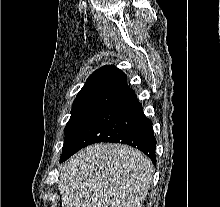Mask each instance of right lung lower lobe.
Here are the masks:
<instances>
[{
    "label": "right lung lower lobe",
    "mask_w": 220,
    "mask_h": 207,
    "mask_svg": "<svg viewBox=\"0 0 220 207\" xmlns=\"http://www.w3.org/2000/svg\"><path fill=\"white\" fill-rule=\"evenodd\" d=\"M97 142L130 145L156 163L152 122L144 115L142 105L127 86V76L122 71L102 83L60 161L64 162L83 147Z\"/></svg>",
    "instance_id": "98d812e1"
}]
</instances>
